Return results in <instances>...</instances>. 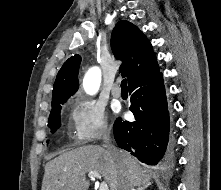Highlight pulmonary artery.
I'll list each match as a JSON object with an SVG mask.
<instances>
[{
  "mask_svg": "<svg viewBox=\"0 0 221 190\" xmlns=\"http://www.w3.org/2000/svg\"><path fill=\"white\" fill-rule=\"evenodd\" d=\"M111 93L115 98H120L122 95V90L119 83H115L111 88Z\"/></svg>",
  "mask_w": 221,
  "mask_h": 190,
  "instance_id": "pulmonary-artery-1",
  "label": "pulmonary artery"
}]
</instances>
